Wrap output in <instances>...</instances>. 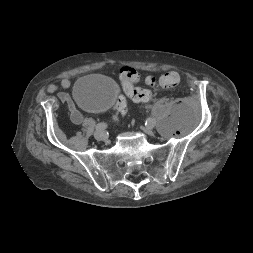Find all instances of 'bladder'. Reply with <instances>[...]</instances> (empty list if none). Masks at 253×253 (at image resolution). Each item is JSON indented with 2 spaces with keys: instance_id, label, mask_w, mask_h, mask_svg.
<instances>
[{
  "instance_id": "31cf9c89",
  "label": "bladder",
  "mask_w": 253,
  "mask_h": 253,
  "mask_svg": "<svg viewBox=\"0 0 253 253\" xmlns=\"http://www.w3.org/2000/svg\"><path fill=\"white\" fill-rule=\"evenodd\" d=\"M117 84L100 74H89L79 78L73 87L76 103L90 111L109 109L117 99Z\"/></svg>"
}]
</instances>
